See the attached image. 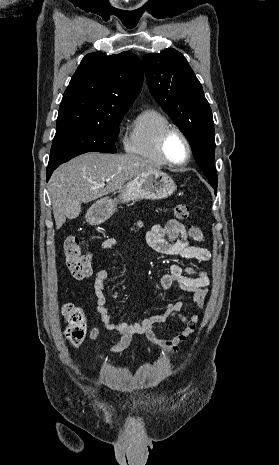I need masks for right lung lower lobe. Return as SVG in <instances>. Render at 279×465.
<instances>
[{
    "label": "right lung lower lobe",
    "instance_id": "obj_1",
    "mask_svg": "<svg viewBox=\"0 0 279 465\" xmlns=\"http://www.w3.org/2000/svg\"><path fill=\"white\" fill-rule=\"evenodd\" d=\"M57 168V166H48L47 167V181L49 180L52 172Z\"/></svg>",
    "mask_w": 279,
    "mask_h": 465
}]
</instances>
